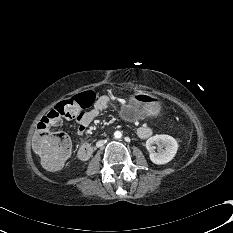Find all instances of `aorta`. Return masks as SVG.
<instances>
[{"label":"aorta","mask_w":233,"mask_h":233,"mask_svg":"<svg viewBox=\"0 0 233 233\" xmlns=\"http://www.w3.org/2000/svg\"><path fill=\"white\" fill-rule=\"evenodd\" d=\"M121 136H122V133H121L120 131H116V132L114 133V137H115L116 139H120Z\"/></svg>","instance_id":"aorta-1"}]
</instances>
